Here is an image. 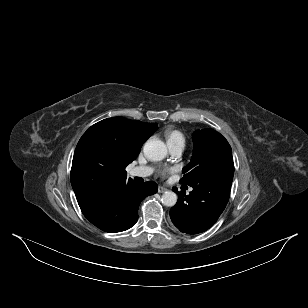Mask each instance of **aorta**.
Here are the masks:
<instances>
[{
  "instance_id": "762f6f07",
  "label": "aorta",
  "mask_w": 308,
  "mask_h": 308,
  "mask_svg": "<svg viewBox=\"0 0 308 308\" xmlns=\"http://www.w3.org/2000/svg\"><path fill=\"white\" fill-rule=\"evenodd\" d=\"M143 151L150 161H160L167 155V147L160 140H149L144 144ZM177 202V195L172 191H166L162 195V203L165 206L172 207Z\"/></svg>"
}]
</instances>
